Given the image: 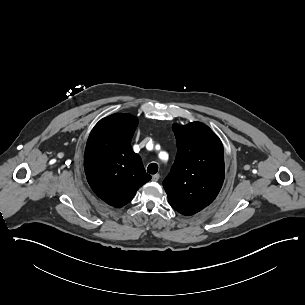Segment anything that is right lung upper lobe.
<instances>
[{
    "label": "right lung upper lobe",
    "instance_id": "obj_1",
    "mask_svg": "<svg viewBox=\"0 0 305 305\" xmlns=\"http://www.w3.org/2000/svg\"><path fill=\"white\" fill-rule=\"evenodd\" d=\"M138 119L117 113L99 121L91 131L84 167L89 185L107 204L122 207L151 179L131 148Z\"/></svg>",
    "mask_w": 305,
    "mask_h": 305
}]
</instances>
